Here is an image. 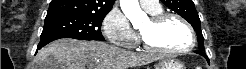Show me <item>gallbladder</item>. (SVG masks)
<instances>
[{"mask_svg": "<svg viewBox=\"0 0 246 69\" xmlns=\"http://www.w3.org/2000/svg\"><path fill=\"white\" fill-rule=\"evenodd\" d=\"M39 69V67H37ZM43 69H65L64 65L56 64L52 55H49L45 61Z\"/></svg>", "mask_w": 246, "mask_h": 69, "instance_id": "obj_1", "label": "gallbladder"}]
</instances>
